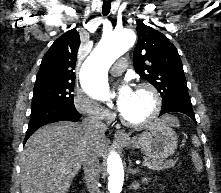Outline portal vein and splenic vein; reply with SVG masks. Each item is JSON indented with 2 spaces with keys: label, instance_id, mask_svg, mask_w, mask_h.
<instances>
[{
  "label": "portal vein and splenic vein",
  "instance_id": "1",
  "mask_svg": "<svg viewBox=\"0 0 221 193\" xmlns=\"http://www.w3.org/2000/svg\"><path fill=\"white\" fill-rule=\"evenodd\" d=\"M148 165V163L147 162H142V166H147ZM62 171H64V170H62Z\"/></svg>",
  "mask_w": 221,
  "mask_h": 193
}]
</instances>
